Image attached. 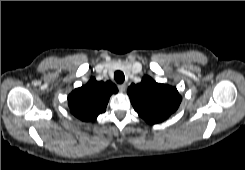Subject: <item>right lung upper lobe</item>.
Masks as SVG:
<instances>
[{"mask_svg": "<svg viewBox=\"0 0 245 170\" xmlns=\"http://www.w3.org/2000/svg\"><path fill=\"white\" fill-rule=\"evenodd\" d=\"M117 92V87L111 81L98 82L91 78L86 85L68 96L70 112L82 121L93 120L106 111L110 96Z\"/></svg>", "mask_w": 245, "mask_h": 170, "instance_id": "1", "label": "right lung upper lobe"}]
</instances>
